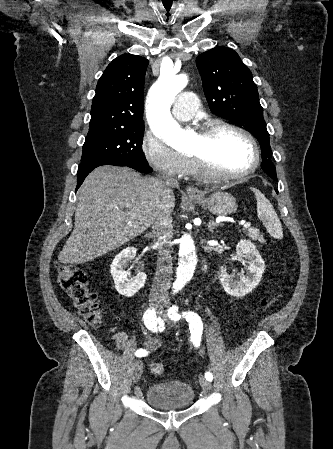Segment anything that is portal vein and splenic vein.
Instances as JSON below:
<instances>
[{
    "instance_id": "1",
    "label": "portal vein and splenic vein",
    "mask_w": 333,
    "mask_h": 449,
    "mask_svg": "<svg viewBox=\"0 0 333 449\" xmlns=\"http://www.w3.org/2000/svg\"><path fill=\"white\" fill-rule=\"evenodd\" d=\"M249 227H250V223L245 222V223L243 224V228H249Z\"/></svg>"
}]
</instances>
